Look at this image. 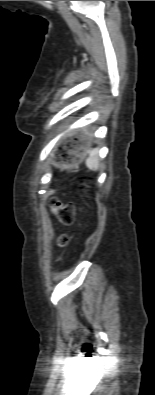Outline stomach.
<instances>
[{"mask_svg": "<svg viewBox=\"0 0 155 395\" xmlns=\"http://www.w3.org/2000/svg\"><path fill=\"white\" fill-rule=\"evenodd\" d=\"M85 142H83V144L77 146L75 148V150L73 151V162H75L76 160H83L84 157L87 155L88 150L86 149V147L84 146Z\"/></svg>", "mask_w": 155, "mask_h": 395, "instance_id": "obj_1", "label": "stomach"}]
</instances>
